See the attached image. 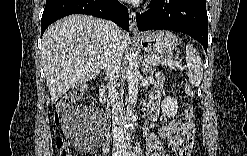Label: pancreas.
I'll return each mask as SVG.
<instances>
[{
  "label": "pancreas",
  "mask_w": 247,
  "mask_h": 156,
  "mask_svg": "<svg viewBox=\"0 0 247 156\" xmlns=\"http://www.w3.org/2000/svg\"><path fill=\"white\" fill-rule=\"evenodd\" d=\"M146 59L151 66L156 65H166L171 68H175L174 65L175 60L172 58L170 54L160 55V54H147Z\"/></svg>",
  "instance_id": "obj_1"
}]
</instances>
